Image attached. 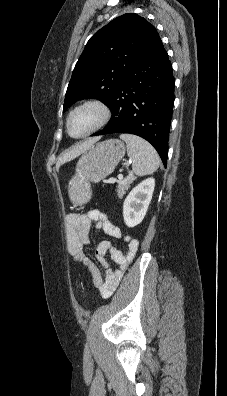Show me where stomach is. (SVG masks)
I'll list each match as a JSON object with an SVG mask.
<instances>
[{
    "mask_svg": "<svg viewBox=\"0 0 227 396\" xmlns=\"http://www.w3.org/2000/svg\"><path fill=\"white\" fill-rule=\"evenodd\" d=\"M125 154V145L115 139L91 146L79 159L75 175L68 182L73 204L87 203L92 196L90 182H100L112 174Z\"/></svg>",
    "mask_w": 227,
    "mask_h": 396,
    "instance_id": "stomach-1",
    "label": "stomach"
}]
</instances>
